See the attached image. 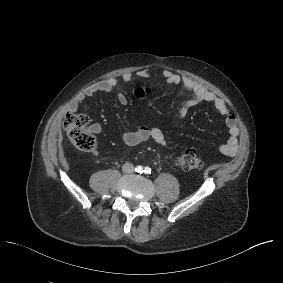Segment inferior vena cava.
I'll use <instances>...</instances> for the list:
<instances>
[{"label":"inferior vena cava","instance_id":"obj_1","mask_svg":"<svg viewBox=\"0 0 283 283\" xmlns=\"http://www.w3.org/2000/svg\"><path fill=\"white\" fill-rule=\"evenodd\" d=\"M135 170L134 168V165L132 163H125L123 166H122V171L125 172V173H133Z\"/></svg>","mask_w":283,"mask_h":283}]
</instances>
